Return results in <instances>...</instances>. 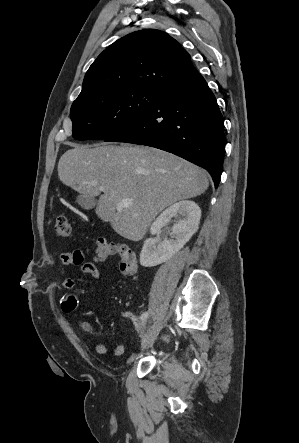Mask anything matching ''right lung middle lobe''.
Masks as SVG:
<instances>
[{
  "mask_svg": "<svg viewBox=\"0 0 299 443\" xmlns=\"http://www.w3.org/2000/svg\"><path fill=\"white\" fill-rule=\"evenodd\" d=\"M161 91L129 88L105 91L73 102L70 116L74 139H105L143 116Z\"/></svg>",
  "mask_w": 299,
  "mask_h": 443,
  "instance_id": "1",
  "label": "right lung middle lobe"
}]
</instances>
